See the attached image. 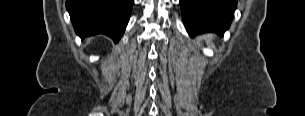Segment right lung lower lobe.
Returning <instances> with one entry per match:
<instances>
[{
  "mask_svg": "<svg viewBox=\"0 0 305 116\" xmlns=\"http://www.w3.org/2000/svg\"><path fill=\"white\" fill-rule=\"evenodd\" d=\"M133 0H67L73 27L81 38L105 34L119 41L129 21Z\"/></svg>",
  "mask_w": 305,
  "mask_h": 116,
  "instance_id": "right-lung-lower-lobe-1",
  "label": "right lung lower lobe"
}]
</instances>
